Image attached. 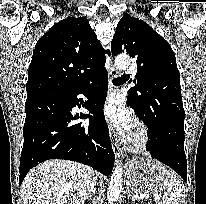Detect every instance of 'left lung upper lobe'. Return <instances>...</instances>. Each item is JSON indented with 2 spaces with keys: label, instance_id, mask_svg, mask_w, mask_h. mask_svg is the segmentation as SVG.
I'll return each instance as SVG.
<instances>
[{
  "label": "left lung upper lobe",
  "instance_id": "left-lung-upper-lobe-1",
  "mask_svg": "<svg viewBox=\"0 0 206 204\" xmlns=\"http://www.w3.org/2000/svg\"><path fill=\"white\" fill-rule=\"evenodd\" d=\"M111 52H127L137 59L136 84L128 97L133 100L135 114L150 129L158 127V119L172 106L183 105L175 54L143 20L124 15L117 25Z\"/></svg>",
  "mask_w": 206,
  "mask_h": 204
}]
</instances>
